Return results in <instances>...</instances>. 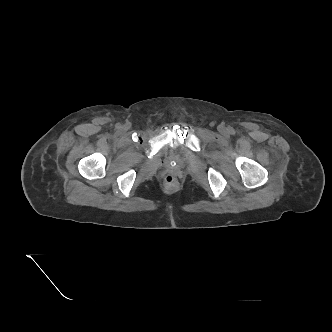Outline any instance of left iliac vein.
Segmentation results:
<instances>
[{"label":"left iliac vein","instance_id":"1","mask_svg":"<svg viewBox=\"0 0 332 332\" xmlns=\"http://www.w3.org/2000/svg\"><path fill=\"white\" fill-rule=\"evenodd\" d=\"M222 132H224L225 130L224 129H221Z\"/></svg>","mask_w":332,"mask_h":332}]
</instances>
